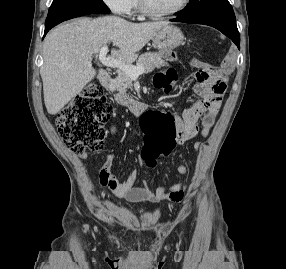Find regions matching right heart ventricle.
Here are the masks:
<instances>
[{
  "instance_id": "right-heart-ventricle-1",
  "label": "right heart ventricle",
  "mask_w": 286,
  "mask_h": 269,
  "mask_svg": "<svg viewBox=\"0 0 286 269\" xmlns=\"http://www.w3.org/2000/svg\"><path fill=\"white\" fill-rule=\"evenodd\" d=\"M131 9L138 10L137 0H131Z\"/></svg>"
}]
</instances>
